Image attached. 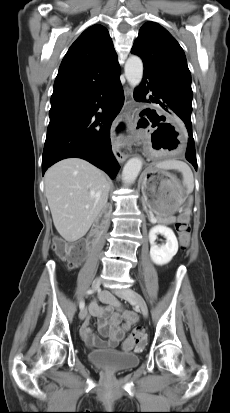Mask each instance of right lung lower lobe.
<instances>
[{
	"label": "right lung lower lobe",
	"mask_w": 230,
	"mask_h": 413,
	"mask_svg": "<svg viewBox=\"0 0 230 413\" xmlns=\"http://www.w3.org/2000/svg\"><path fill=\"white\" fill-rule=\"evenodd\" d=\"M119 76L116 74L86 96L51 103L43 175L54 163L78 157L104 170L112 179L116 177L119 164L111 148L110 127L124 103Z\"/></svg>",
	"instance_id": "98d812e1"
}]
</instances>
